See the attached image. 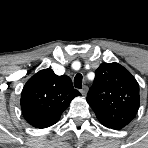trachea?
<instances>
[{
	"label": "trachea",
	"instance_id": "3493384b",
	"mask_svg": "<svg viewBox=\"0 0 148 148\" xmlns=\"http://www.w3.org/2000/svg\"><path fill=\"white\" fill-rule=\"evenodd\" d=\"M82 80L83 77L80 73L76 74L75 78H74V86L75 88L81 89L82 88Z\"/></svg>",
	"mask_w": 148,
	"mask_h": 148
}]
</instances>
